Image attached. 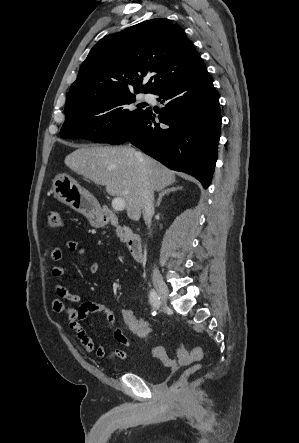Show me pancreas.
<instances>
[{"label": "pancreas", "instance_id": "obj_1", "mask_svg": "<svg viewBox=\"0 0 299 443\" xmlns=\"http://www.w3.org/2000/svg\"><path fill=\"white\" fill-rule=\"evenodd\" d=\"M117 235L122 242H125L127 240V236L122 232L121 229H117Z\"/></svg>", "mask_w": 299, "mask_h": 443}]
</instances>
